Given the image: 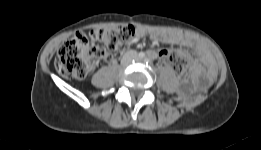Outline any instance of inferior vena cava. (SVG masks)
Wrapping results in <instances>:
<instances>
[{"label": "inferior vena cava", "mask_w": 261, "mask_h": 150, "mask_svg": "<svg viewBox=\"0 0 261 150\" xmlns=\"http://www.w3.org/2000/svg\"><path fill=\"white\" fill-rule=\"evenodd\" d=\"M129 53H132L134 56L136 55L135 51H130Z\"/></svg>", "instance_id": "1"}]
</instances>
